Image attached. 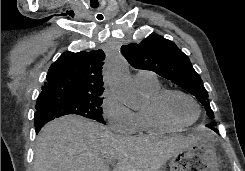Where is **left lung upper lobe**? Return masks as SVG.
<instances>
[{"instance_id":"1","label":"left lung upper lobe","mask_w":245,"mask_h":171,"mask_svg":"<svg viewBox=\"0 0 245 171\" xmlns=\"http://www.w3.org/2000/svg\"><path fill=\"white\" fill-rule=\"evenodd\" d=\"M121 52L134 68L153 71L191 93L202 103L207 115L214 118L201 77L175 43L159 35H150L139 44L123 45Z\"/></svg>"}]
</instances>
